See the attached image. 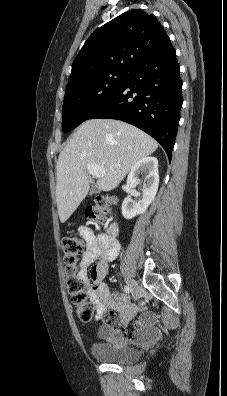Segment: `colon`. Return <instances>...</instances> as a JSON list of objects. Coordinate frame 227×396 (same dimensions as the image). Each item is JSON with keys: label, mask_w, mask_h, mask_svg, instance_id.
Instances as JSON below:
<instances>
[{"label": "colon", "mask_w": 227, "mask_h": 396, "mask_svg": "<svg viewBox=\"0 0 227 396\" xmlns=\"http://www.w3.org/2000/svg\"><path fill=\"white\" fill-rule=\"evenodd\" d=\"M111 202H114V199L96 197L94 204L87 209L86 216L95 223H102L108 211V205ZM84 249L85 242L77 236H66L62 240L67 290L73 304L76 306L78 318L82 322H89L93 318L95 306L88 301L84 282L77 276L78 259Z\"/></svg>", "instance_id": "5ec220e1"}]
</instances>
